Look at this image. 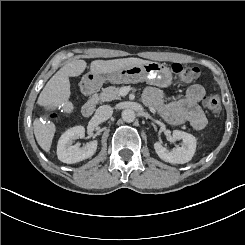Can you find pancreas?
Listing matches in <instances>:
<instances>
[{
    "mask_svg": "<svg viewBox=\"0 0 245 245\" xmlns=\"http://www.w3.org/2000/svg\"><path fill=\"white\" fill-rule=\"evenodd\" d=\"M115 99L117 100L121 99L120 88L109 86L107 88H103L100 94L92 95L89 98L88 103L97 104L99 101L106 102V101H112Z\"/></svg>",
    "mask_w": 245,
    "mask_h": 245,
    "instance_id": "cf45deb5",
    "label": "pancreas"
}]
</instances>
